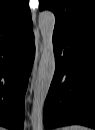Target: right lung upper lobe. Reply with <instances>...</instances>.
<instances>
[{"mask_svg":"<svg viewBox=\"0 0 95 130\" xmlns=\"http://www.w3.org/2000/svg\"><path fill=\"white\" fill-rule=\"evenodd\" d=\"M31 26L28 0L0 1V43L21 36Z\"/></svg>","mask_w":95,"mask_h":130,"instance_id":"obj_1","label":"right lung upper lobe"}]
</instances>
